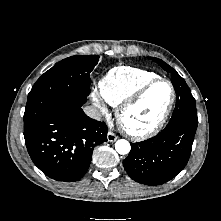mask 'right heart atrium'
<instances>
[{"instance_id":"d8ad5b80","label":"right heart atrium","mask_w":221,"mask_h":221,"mask_svg":"<svg viewBox=\"0 0 221 221\" xmlns=\"http://www.w3.org/2000/svg\"><path fill=\"white\" fill-rule=\"evenodd\" d=\"M92 100L94 105L102 112V113H106V108L104 106V104L102 103L100 97L96 94L93 93L92 94Z\"/></svg>"}]
</instances>
